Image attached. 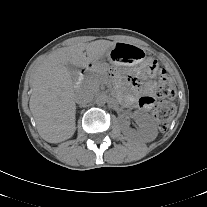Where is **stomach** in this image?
<instances>
[{"label":"stomach","instance_id":"obj_1","mask_svg":"<svg viewBox=\"0 0 207 207\" xmlns=\"http://www.w3.org/2000/svg\"><path fill=\"white\" fill-rule=\"evenodd\" d=\"M106 58L115 65L136 66L148 60L146 52L133 45L115 43L107 52Z\"/></svg>","mask_w":207,"mask_h":207}]
</instances>
